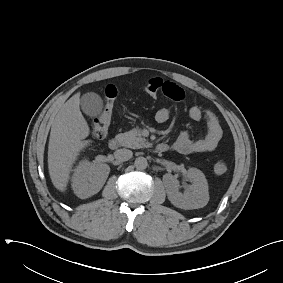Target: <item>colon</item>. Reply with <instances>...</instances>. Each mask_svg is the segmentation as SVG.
Listing matches in <instances>:
<instances>
[{
  "label": "colon",
  "mask_w": 283,
  "mask_h": 283,
  "mask_svg": "<svg viewBox=\"0 0 283 283\" xmlns=\"http://www.w3.org/2000/svg\"><path fill=\"white\" fill-rule=\"evenodd\" d=\"M163 86V80L160 78L149 79L144 84V91L155 96L161 92ZM117 97V89L113 85H108L104 93V105L101 113L96 117L91 124V132L97 138H102L106 135L108 127L111 122L112 111L114 103ZM228 169V165L225 161H218L213 166V171L217 175L224 174Z\"/></svg>",
  "instance_id": "5ec220e1"
}]
</instances>
